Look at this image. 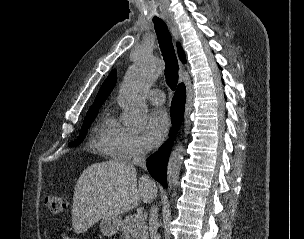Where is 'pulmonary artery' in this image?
<instances>
[{
  "label": "pulmonary artery",
  "instance_id": "1",
  "mask_svg": "<svg viewBox=\"0 0 304 239\" xmlns=\"http://www.w3.org/2000/svg\"><path fill=\"white\" fill-rule=\"evenodd\" d=\"M148 100L154 105H162L165 102L164 92L159 89H153L148 94Z\"/></svg>",
  "mask_w": 304,
  "mask_h": 239
}]
</instances>
